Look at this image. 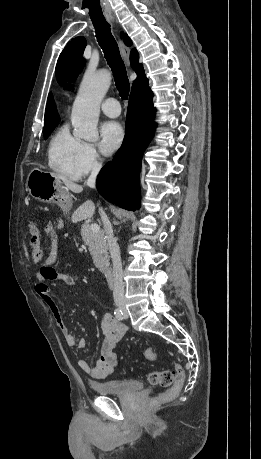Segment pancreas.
I'll return each mask as SVG.
<instances>
[{"label": "pancreas", "mask_w": 261, "mask_h": 459, "mask_svg": "<svg viewBox=\"0 0 261 459\" xmlns=\"http://www.w3.org/2000/svg\"><path fill=\"white\" fill-rule=\"evenodd\" d=\"M81 236L85 245L89 248L95 266L99 269H104L109 259L104 232L93 233L90 225L84 224L81 228Z\"/></svg>", "instance_id": "pancreas-1"}]
</instances>
